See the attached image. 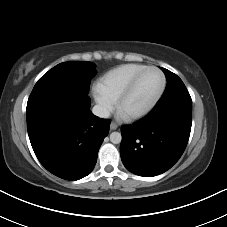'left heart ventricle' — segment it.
<instances>
[{
    "instance_id": "left-heart-ventricle-1",
    "label": "left heart ventricle",
    "mask_w": 227,
    "mask_h": 227,
    "mask_svg": "<svg viewBox=\"0 0 227 227\" xmlns=\"http://www.w3.org/2000/svg\"><path fill=\"white\" fill-rule=\"evenodd\" d=\"M162 76L156 70L147 71L124 105L126 111H136L147 105L159 92Z\"/></svg>"
}]
</instances>
